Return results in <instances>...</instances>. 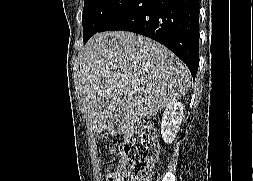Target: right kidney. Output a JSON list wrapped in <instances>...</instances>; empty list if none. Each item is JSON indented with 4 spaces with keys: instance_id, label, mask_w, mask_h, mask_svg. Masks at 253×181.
<instances>
[{
    "instance_id": "1",
    "label": "right kidney",
    "mask_w": 253,
    "mask_h": 181,
    "mask_svg": "<svg viewBox=\"0 0 253 181\" xmlns=\"http://www.w3.org/2000/svg\"><path fill=\"white\" fill-rule=\"evenodd\" d=\"M183 117V105L173 100L166 105L162 122L161 135L165 143H172L180 129Z\"/></svg>"
}]
</instances>
